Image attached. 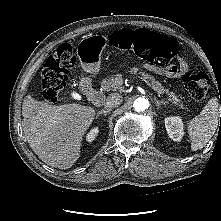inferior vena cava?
<instances>
[{
    "mask_svg": "<svg viewBox=\"0 0 221 221\" xmlns=\"http://www.w3.org/2000/svg\"><path fill=\"white\" fill-rule=\"evenodd\" d=\"M122 103V96L119 94H112L106 99L104 103V110L111 111L113 108L118 107Z\"/></svg>",
    "mask_w": 221,
    "mask_h": 221,
    "instance_id": "obj_1",
    "label": "inferior vena cava"
}]
</instances>
